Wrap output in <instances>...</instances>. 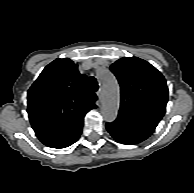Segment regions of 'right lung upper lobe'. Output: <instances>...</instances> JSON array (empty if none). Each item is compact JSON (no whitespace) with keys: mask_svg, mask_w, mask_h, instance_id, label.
<instances>
[{"mask_svg":"<svg viewBox=\"0 0 194 193\" xmlns=\"http://www.w3.org/2000/svg\"><path fill=\"white\" fill-rule=\"evenodd\" d=\"M68 58L47 65L28 91L27 112L38 138L61 132L95 109L96 94L87 76Z\"/></svg>","mask_w":194,"mask_h":193,"instance_id":"obj_1","label":"right lung upper lobe"}]
</instances>
